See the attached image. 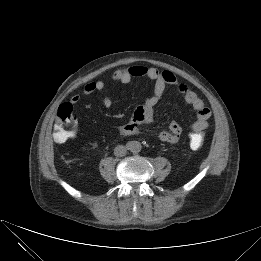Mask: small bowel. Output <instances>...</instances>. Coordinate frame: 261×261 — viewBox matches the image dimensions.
<instances>
[{
  "mask_svg": "<svg viewBox=\"0 0 261 261\" xmlns=\"http://www.w3.org/2000/svg\"><path fill=\"white\" fill-rule=\"evenodd\" d=\"M147 77L154 81V90L151 96L144 98L142 104L133 112L130 120L119 127V132L123 136L136 135L140 132V124H150L154 120L155 107L163 96L167 86H174L183 96L186 103L196 112V120L191 126L192 132L204 131L209 126L211 118L210 109L204 104L203 100L188 86L177 80L175 75L169 71H160L156 68H149L141 65H134L128 68L117 69L112 74L114 81L127 84L133 78ZM106 84L102 80L91 81L84 85V95L101 93L104 107L110 108L112 100L105 95ZM80 95L75 94L71 97L70 103H79ZM182 128L176 121H172L168 129L159 133V139L167 143H177L181 137Z\"/></svg>",
  "mask_w": 261,
  "mask_h": 261,
  "instance_id": "obj_1",
  "label": "small bowel"
}]
</instances>
